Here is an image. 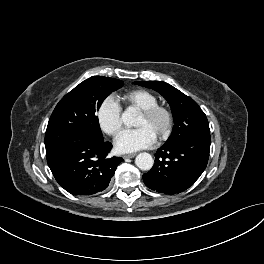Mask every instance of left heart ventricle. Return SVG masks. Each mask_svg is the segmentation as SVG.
Segmentation results:
<instances>
[{
	"instance_id": "1",
	"label": "left heart ventricle",
	"mask_w": 264,
	"mask_h": 264,
	"mask_svg": "<svg viewBox=\"0 0 264 264\" xmlns=\"http://www.w3.org/2000/svg\"><path fill=\"white\" fill-rule=\"evenodd\" d=\"M136 127H146L148 128L155 136H157L164 127V120L162 117H157L154 119H147L141 114L139 115Z\"/></svg>"
}]
</instances>
